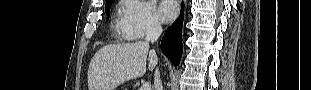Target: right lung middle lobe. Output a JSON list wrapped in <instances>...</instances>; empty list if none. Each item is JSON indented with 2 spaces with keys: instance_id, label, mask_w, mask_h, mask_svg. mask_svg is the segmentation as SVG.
<instances>
[{
  "instance_id": "dd1d6c3e",
  "label": "right lung middle lobe",
  "mask_w": 311,
  "mask_h": 90,
  "mask_svg": "<svg viewBox=\"0 0 311 90\" xmlns=\"http://www.w3.org/2000/svg\"><path fill=\"white\" fill-rule=\"evenodd\" d=\"M114 2V0H112L111 2L109 3H106L105 5V11H106V14H107V19H106V22L108 21L109 19V15H110V7L112 5V3Z\"/></svg>"
}]
</instances>
